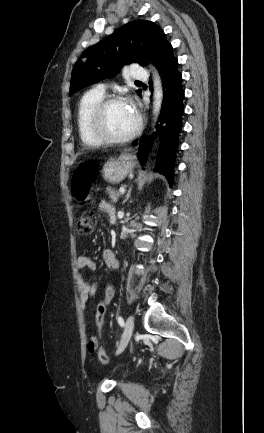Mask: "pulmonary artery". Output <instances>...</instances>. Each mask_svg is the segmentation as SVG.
Here are the masks:
<instances>
[{
  "label": "pulmonary artery",
  "instance_id": "e3ab8cb5",
  "mask_svg": "<svg viewBox=\"0 0 264 433\" xmlns=\"http://www.w3.org/2000/svg\"><path fill=\"white\" fill-rule=\"evenodd\" d=\"M131 77L135 80H146L148 78V73L147 70L142 67L133 66L131 68ZM96 90L104 94L106 88L103 84H99L96 87Z\"/></svg>",
  "mask_w": 264,
  "mask_h": 433
}]
</instances>
